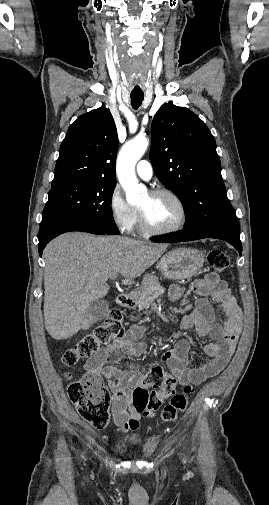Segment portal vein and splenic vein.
I'll use <instances>...</instances> for the list:
<instances>
[{
  "instance_id": "portal-vein-and-splenic-vein-1",
  "label": "portal vein and splenic vein",
  "mask_w": 269,
  "mask_h": 505,
  "mask_svg": "<svg viewBox=\"0 0 269 505\" xmlns=\"http://www.w3.org/2000/svg\"><path fill=\"white\" fill-rule=\"evenodd\" d=\"M111 279H112V280H115V279H116V276H112V277H111Z\"/></svg>"
}]
</instances>
